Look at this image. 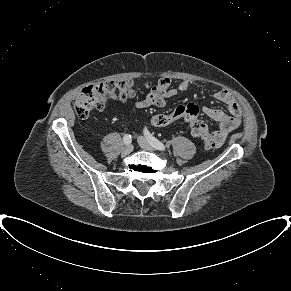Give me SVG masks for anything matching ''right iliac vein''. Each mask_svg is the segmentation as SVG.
<instances>
[{
	"label": "right iliac vein",
	"mask_w": 291,
	"mask_h": 291,
	"mask_svg": "<svg viewBox=\"0 0 291 291\" xmlns=\"http://www.w3.org/2000/svg\"><path fill=\"white\" fill-rule=\"evenodd\" d=\"M133 151V146L132 145H126L123 149H122V155L123 156H127L129 155L131 152Z\"/></svg>",
	"instance_id": "obj_1"
}]
</instances>
